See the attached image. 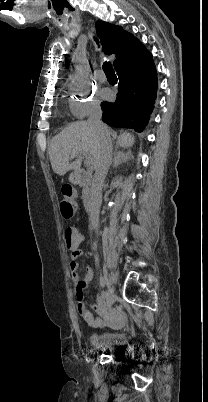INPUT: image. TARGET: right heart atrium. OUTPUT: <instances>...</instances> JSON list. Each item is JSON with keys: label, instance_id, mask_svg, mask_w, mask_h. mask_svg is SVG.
<instances>
[{"label": "right heart atrium", "instance_id": "1", "mask_svg": "<svg viewBox=\"0 0 208 402\" xmlns=\"http://www.w3.org/2000/svg\"><path fill=\"white\" fill-rule=\"evenodd\" d=\"M72 111L74 115L82 119L90 113L100 108V100L94 86H77L74 87Z\"/></svg>", "mask_w": 208, "mask_h": 402}]
</instances>
